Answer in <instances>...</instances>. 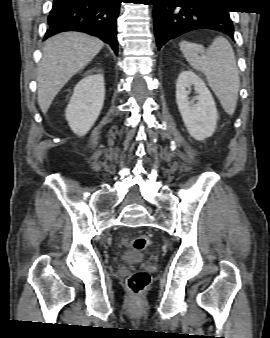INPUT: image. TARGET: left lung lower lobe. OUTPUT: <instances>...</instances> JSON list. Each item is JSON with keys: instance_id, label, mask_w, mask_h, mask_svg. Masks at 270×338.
Wrapping results in <instances>:
<instances>
[{"instance_id": "left-lung-lower-lobe-1", "label": "left lung lower lobe", "mask_w": 270, "mask_h": 338, "mask_svg": "<svg viewBox=\"0 0 270 338\" xmlns=\"http://www.w3.org/2000/svg\"><path fill=\"white\" fill-rule=\"evenodd\" d=\"M157 47L196 29H213L233 37L229 11L219 0H152ZM178 5H180L178 7Z\"/></svg>"}]
</instances>
